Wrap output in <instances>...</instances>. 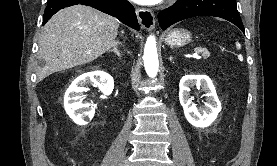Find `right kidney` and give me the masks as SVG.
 <instances>
[{"label":"right kidney","instance_id":"obj_1","mask_svg":"<svg viewBox=\"0 0 277 166\" xmlns=\"http://www.w3.org/2000/svg\"><path fill=\"white\" fill-rule=\"evenodd\" d=\"M87 83L98 85L104 96L112 93L114 88L113 78L101 71H94L77 77L67 89L64 96V107L69 117L78 125H86L87 119H92L95 109L85 110L90 104L83 103L82 92L86 90L84 87Z\"/></svg>","mask_w":277,"mask_h":166}]
</instances>
